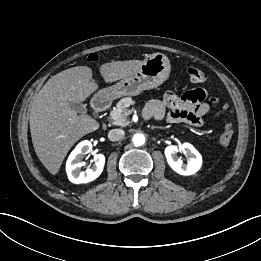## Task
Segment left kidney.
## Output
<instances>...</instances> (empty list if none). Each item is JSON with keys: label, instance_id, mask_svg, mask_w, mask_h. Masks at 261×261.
Here are the masks:
<instances>
[{"label": "left kidney", "instance_id": "1", "mask_svg": "<svg viewBox=\"0 0 261 261\" xmlns=\"http://www.w3.org/2000/svg\"><path fill=\"white\" fill-rule=\"evenodd\" d=\"M179 151L189 155L187 164H184L178 157L177 153ZM164 152L169 166L180 175H193L201 168L202 156L194 146L189 143H184L179 147L175 145L167 146Z\"/></svg>", "mask_w": 261, "mask_h": 261}]
</instances>
